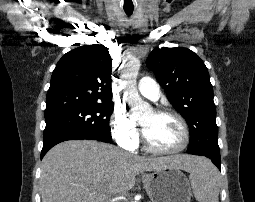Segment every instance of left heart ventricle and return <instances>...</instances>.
I'll return each mask as SVG.
<instances>
[{"mask_svg": "<svg viewBox=\"0 0 255 202\" xmlns=\"http://www.w3.org/2000/svg\"><path fill=\"white\" fill-rule=\"evenodd\" d=\"M140 123L148 140L156 148H176L183 140L181 125L172 116H160L150 111L141 118Z\"/></svg>", "mask_w": 255, "mask_h": 202, "instance_id": "b2bd125f", "label": "left heart ventricle"}]
</instances>
